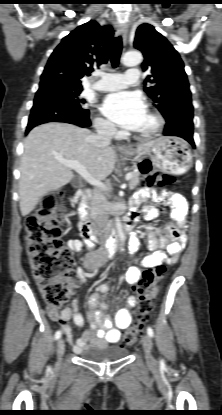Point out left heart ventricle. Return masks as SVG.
Instances as JSON below:
<instances>
[{
	"instance_id": "left-heart-ventricle-1",
	"label": "left heart ventricle",
	"mask_w": 222,
	"mask_h": 415,
	"mask_svg": "<svg viewBox=\"0 0 222 415\" xmlns=\"http://www.w3.org/2000/svg\"><path fill=\"white\" fill-rule=\"evenodd\" d=\"M153 126H154V120H153V118L147 112H145V114L142 116L140 122L133 129V131H136V132H146V131L152 129Z\"/></svg>"
}]
</instances>
